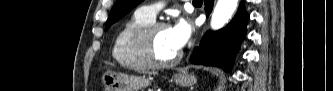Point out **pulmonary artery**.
<instances>
[{"mask_svg":"<svg viewBox=\"0 0 333 91\" xmlns=\"http://www.w3.org/2000/svg\"><path fill=\"white\" fill-rule=\"evenodd\" d=\"M158 11H159V6L157 5L144 6L138 10L140 14H142L143 16L147 17L152 21L155 20Z\"/></svg>","mask_w":333,"mask_h":91,"instance_id":"pulmonary-artery-1","label":"pulmonary artery"}]
</instances>
